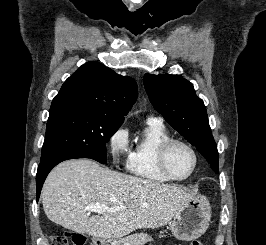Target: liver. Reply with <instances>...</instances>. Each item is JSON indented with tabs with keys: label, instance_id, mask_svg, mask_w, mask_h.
<instances>
[{
	"label": "liver",
	"instance_id": "1",
	"mask_svg": "<svg viewBox=\"0 0 266 245\" xmlns=\"http://www.w3.org/2000/svg\"><path fill=\"white\" fill-rule=\"evenodd\" d=\"M41 199L52 223L100 239H120L137 229L163 227L193 199L177 185H162L102 169L92 159H72L49 173ZM108 209L90 217L84 207Z\"/></svg>",
	"mask_w": 266,
	"mask_h": 245
}]
</instances>
